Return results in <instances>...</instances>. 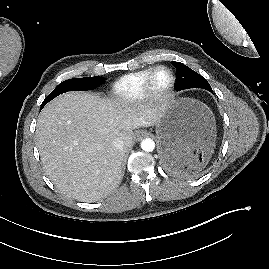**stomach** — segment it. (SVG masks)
Returning <instances> with one entry per match:
<instances>
[{
    "mask_svg": "<svg viewBox=\"0 0 269 269\" xmlns=\"http://www.w3.org/2000/svg\"><path fill=\"white\" fill-rule=\"evenodd\" d=\"M160 156L167 144L176 145L181 154L180 168H196L207 162L214 151L216 125L212 111L202 102L170 99L162 107L156 123Z\"/></svg>",
    "mask_w": 269,
    "mask_h": 269,
    "instance_id": "stomach-1",
    "label": "stomach"
}]
</instances>
